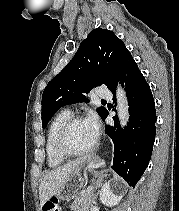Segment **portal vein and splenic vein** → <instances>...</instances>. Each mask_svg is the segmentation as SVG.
I'll return each mask as SVG.
<instances>
[{
  "label": "portal vein and splenic vein",
  "instance_id": "portal-vein-and-splenic-vein-1",
  "mask_svg": "<svg viewBox=\"0 0 179 211\" xmlns=\"http://www.w3.org/2000/svg\"><path fill=\"white\" fill-rule=\"evenodd\" d=\"M92 189V187L87 188V192L90 191Z\"/></svg>",
  "mask_w": 179,
  "mask_h": 211
}]
</instances>
